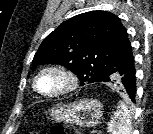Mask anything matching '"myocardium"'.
<instances>
[{
	"instance_id": "1",
	"label": "myocardium",
	"mask_w": 153,
	"mask_h": 134,
	"mask_svg": "<svg viewBox=\"0 0 153 134\" xmlns=\"http://www.w3.org/2000/svg\"><path fill=\"white\" fill-rule=\"evenodd\" d=\"M45 73H56L60 75L64 81V86L52 93H45L39 90L38 80ZM79 85L77 75L68 67L59 64H50L41 68L33 79V89L39 95L46 98H56L73 92Z\"/></svg>"
}]
</instances>
